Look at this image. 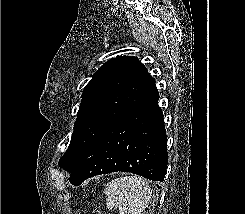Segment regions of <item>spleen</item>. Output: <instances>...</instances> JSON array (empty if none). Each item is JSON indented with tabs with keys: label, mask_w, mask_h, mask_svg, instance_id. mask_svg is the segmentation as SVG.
<instances>
[{
	"label": "spleen",
	"mask_w": 245,
	"mask_h": 214,
	"mask_svg": "<svg viewBox=\"0 0 245 214\" xmlns=\"http://www.w3.org/2000/svg\"><path fill=\"white\" fill-rule=\"evenodd\" d=\"M108 209L119 214H142L150 199V185L138 176L120 177L107 183L105 191Z\"/></svg>",
	"instance_id": "spleen-1"
}]
</instances>
